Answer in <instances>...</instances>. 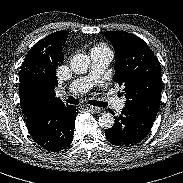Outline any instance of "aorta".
<instances>
[{
  "instance_id": "aorta-1",
  "label": "aorta",
  "mask_w": 183,
  "mask_h": 183,
  "mask_svg": "<svg viewBox=\"0 0 183 183\" xmlns=\"http://www.w3.org/2000/svg\"><path fill=\"white\" fill-rule=\"evenodd\" d=\"M90 58L85 54H76L70 61V68L75 74H84L90 67ZM99 126L110 129L114 125V117L110 113H103L98 119Z\"/></svg>"
}]
</instances>
